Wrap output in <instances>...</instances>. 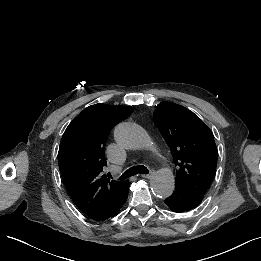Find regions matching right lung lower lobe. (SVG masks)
<instances>
[{
  "instance_id": "98d812e1",
  "label": "right lung lower lobe",
  "mask_w": 261,
  "mask_h": 261,
  "mask_svg": "<svg viewBox=\"0 0 261 261\" xmlns=\"http://www.w3.org/2000/svg\"><path fill=\"white\" fill-rule=\"evenodd\" d=\"M127 196H128V188H127V191L125 193H123V195L121 197H119L118 200L114 204L100 208L90 218L93 220L100 221V220L108 219L110 217H114L115 215H117L120 212L121 207L126 202Z\"/></svg>"
}]
</instances>
